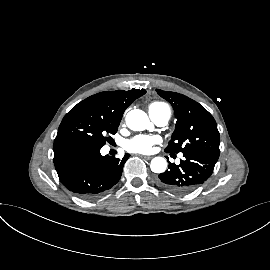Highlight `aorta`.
Wrapping results in <instances>:
<instances>
[{
  "label": "aorta",
  "mask_w": 270,
  "mask_h": 270,
  "mask_svg": "<svg viewBox=\"0 0 270 270\" xmlns=\"http://www.w3.org/2000/svg\"><path fill=\"white\" fill-rule=\"evenodd\" d=\"M125 121L127 126L134 131H143L150 126L147 114L139 109L129 111ZM150 168L155 173H162L167 168V162L163 157H154L151 160Z\"/></svg>",
  "instance_id": "obj_1"
}]
</instances>
